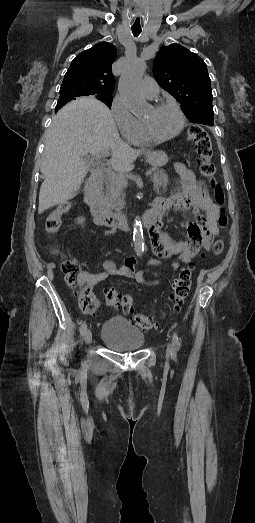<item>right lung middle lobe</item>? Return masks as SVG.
<instances>
[{
  "instance_id": "obj_1",
  "label": "right lung middle lobe",
  "mask_w": 255,
  "mask_h": 523,
  "mask_svg": "<svg viewBox=\"0 0 255 523\" xmlns=\"http://www.w3.org/2000/svg\"><path fill=\"white\" fill-rule=\"evenodd\" d=\"M77 96L78 95H76V94H71V93H68V92H60L59 101H67V102H69L70 100H73ZM95 98L100 100V101H102V102H104L109 108H111V104H112V101H113V98H112L111 95L96 96Z\"/></svg>"
}]
</instances>
